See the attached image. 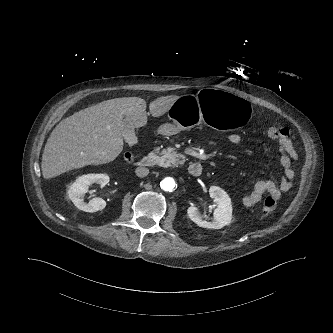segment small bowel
Returning <instances> with one entry per match:
<instances>
[{"label":"small bowel","mask_w":333,"mask_h":333,"mask_svg":"<svg viewBox=\"0 0 333 333\" xmlns=\"http://www.w3.org/2000/svg\"><path fill=\"white\" fill-rule=\"evenodd\" d=\"M269 129L277 130V136L270 139L275 140L278 143L280 164L284 171V177L279 185H276L271 180L257 181L252 191L243 197V204L246 207L254 206L266 194L273 196L275 199H280L282 194L290 190L293 186L295 174L292 169V163L297 161L298 154L291 140L290 133L284 128L270 127ZM228 140L231 144L236 145L241 141V137L237 133H231L228 136Z\"/></svg>","instance_id":"c3829d8e"}]
</instances>
